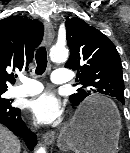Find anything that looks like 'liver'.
I'll return each instance as SVG.
<instances>
[{"instance_id":"liver-1","label":"liver","mask_w":130,"mask_h":153,"mask_svg":"<svg viewBox=\"0 0 130 153\" xmlns=\"http://www.w3.org/2000/svg\"><path fill=\"white\" fill-rule=\"evenodd\" d=\"M21 144L18 138L0 124V153H20Z\"/></svg>"}]
</instances>
